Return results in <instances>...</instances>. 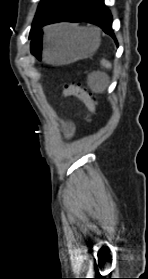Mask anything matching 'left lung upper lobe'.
<instances>
[{"label":"left lung upper lobe","instance_id":"5c2ea615","mask_svg":"<svg viewBox=\"0 0 148 279\" xmlns=\"http://www.w3.org/2000/svg\"><path fill=\"white\" fill-rule=\"evenodd\" d=\"M65 0H42L38 6L35 18L33 20L30 35L35 32L40 22L45 20L54 10H56Z\"/></svg>","mask_w":148,"mask_h":279}]
</instances>
